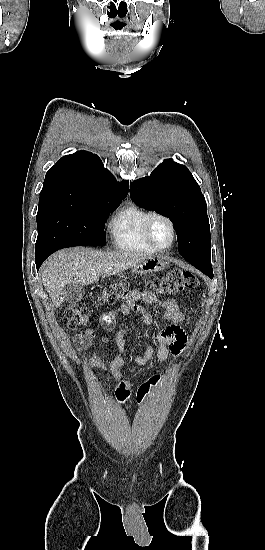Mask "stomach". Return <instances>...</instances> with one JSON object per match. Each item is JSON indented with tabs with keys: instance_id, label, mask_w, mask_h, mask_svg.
Listing matches in <instances>:
<instances>
[{
	"instance_id": "stomach-1",
	"label": "stomach",
	"mask_w": 265,
	"mask_h": 550,
	"mask_svg": "<svg viewBox=\"0 0 265 550\" xmlns=\"http://www.w3.org/2000/svg\"><path fill=\"white\" fill-rule=\"evenodd\" d=\"M167 263L160 257H148L133 267V272L140 275L153 274L162 271Z\"/></svg>"
}]
</instances>
